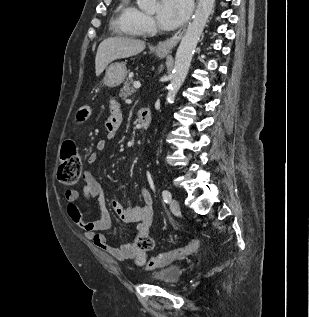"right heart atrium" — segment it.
Wrapping results in <instances>:
<instances>
[{"mask_svg":"<svg viewBox=\"0 0 309 317\" xmlns=\"http://www.w3.org/2000/svg\"><path fill=\"white\" fill-rule=\"evenodd\" d=\"M139 25L142 29H152L154 27L153 18L145 13H141L139 18Z\"/></svg>","mask_w":309,"mask_h":317,"instance_id":"obj_1","label":"right heart atrium"}]
</instances>
